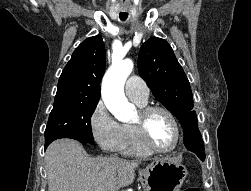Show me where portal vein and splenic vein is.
<instances>
[{
	"label": "portal vein and splenic vein",
	"instance_id": "18ae733b",
	"mask_svg": "<svg viewBox=\"0 0 251 191\" xmlns=\"http://www.w3.org/2000/svg\"><path fill=\"white\" fill-rule=\"evenodd\" d=\"M95 191H106V189H103V187H97V189H95Z\"/></svg>",
	"mask_w": 251,
	"mask_h": 191
}]
</instances>
